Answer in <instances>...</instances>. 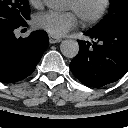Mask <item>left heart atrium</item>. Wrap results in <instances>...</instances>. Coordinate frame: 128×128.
Segmentation results:
<instances>
[{"mask_svg":"<svg viewBox=\"0 0 128 128\" xmlns=\"http://www.w3.org/2000/svg\"><path fill=\"white\" fill-rule=\"evenodd\" d=\"M36 28L44 30L53 36H62L77 25V16L74 12H43L34 18Z\"/></svg>","mask_w":128,"mask_h":128,"instance_id":"1","label":"left heart atrium"}]
</instances>
